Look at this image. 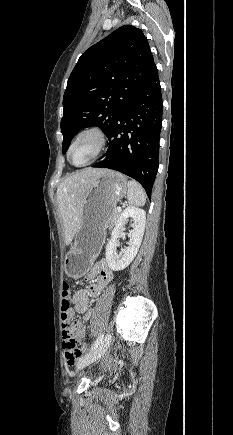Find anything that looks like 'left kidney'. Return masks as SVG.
Here are the masks:
<instances>
[{
	"mask_svg": "<svg viewBox=\"0 0 233 435\" xmlns=\"http://www.w3.org/2000/svg\"><path fill=\"white\" fill-rule=\"evenodd\" d=\"M128 218L133 220V229L129 231V246L122 250L121 254H117L116 248L119 245L118 237L123 230L125 222ZM146 213L143 209L128 206L119 216L117 223L111 233V239L106 246V261L108 266L113 271L125 269L135 258L142 242Z\"/></svg>",
	"mask_w": 233,
	"mask_h": 435,
	"instance_id": "1",
	"label": "left kidney"
}]
</instances>
